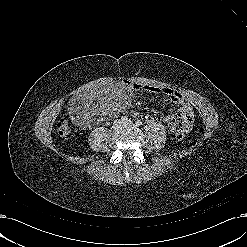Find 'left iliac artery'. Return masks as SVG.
Returning <instances> with one entry per match:
<instances>
[{
    "label": "left iliac artery",
    "instance_id": "44dca946",
    "mask_svg": "<svg viewBox=\"0 0 247 247\" xmlns=\"http://www.w3.org/2000/svg\"><path fill=\"white\" fill-rule=\"evenodd\" d=\"M142 124V122L140 120L136 121V125L140 126Z\"/></svg>",
    "mask_w": 247,
    "mask_h": 247
}]
</instances>
